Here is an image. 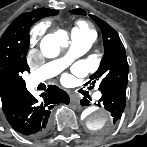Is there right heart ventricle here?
Returning a JSON list of instances; mask_svg holds the SVG:
<instances>
[{
	"label": "right heart ventricle",
	"mask_w": 147,
	"mask_h": 147,
	"mask_svg": "<svg viewBox=\"0 0 147 147\" xmlns=\"http://www.w3.org/2000/svg\"><path fill=\"white\" fill-rule=\"evenodd\" d=\"M73 33H75V34H77L79 36L91 38L93 40L95 39V36H96L95 31L85 21H78L76 26L73 29Z\"/></svg>",
	"instance_id": "obj_1"
}]
</instances>
